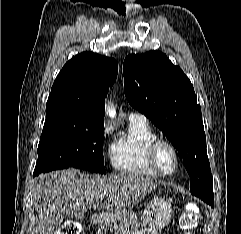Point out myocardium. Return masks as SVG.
<instances>
[{"instance_id":"f54148a6","label":"myocardium","mask_w":241,"mask_h":234,"mask_svg":"<svg viewBox=\"0 0 241 234\" xmlns=\"http://www.w3.org/2000/svg\"><path fill=\"white\" fill-rule=\"evenodd\" d=\"M162 148L168 149L174 159V165L171 170L166 171L162 168L160 161H159V152ZM147 158L150 166L162 176H170L175 173L179 165V153L176 147L167 140L157 138L155 139L148 147L147 151Z\"/></svg>"}]
</instances>
